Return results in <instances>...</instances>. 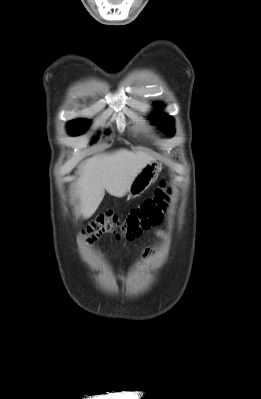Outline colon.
I'll list each match as a JSON object with an SVG mask.
<instances>
[{"instance_id": "obj_1", "label": "colon", "mask_w": 261, "mask_h": 399, "mask_svg": "<svg viewBox=\"0 0 261 399\" xmlns=\"http://www.w3.org/2000/svg\"><path fill=\"white\" fill-rule=\"evenodd\" d=\"M170 189L164 181L160 182L155 194L120 218L115 213H104L84 229L88 242H93L104 234L120 240L132 241L143 231L159 225L167 208Z\"/></svg>"}]
</instances>
